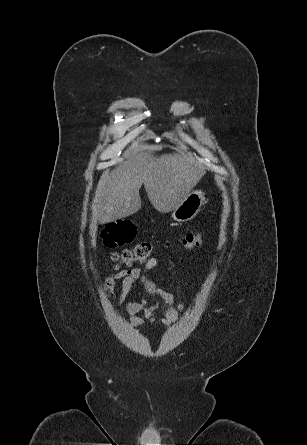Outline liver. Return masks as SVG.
<instances>
[{"instance_id":"liver-1","label":"liver","mask_w":307,"mask_h":445,"mask_svg":"<svg viewBox=\"0 0 307 445\" xmlns=\"http://www.w3.org/2000/svg\"><path fill=\"white\" fill-rule=\"evenodd\" d=\"M143 146L142 152H124L126 160L99 180L92 210L99 223L125 218L141 208L139 190L144 184L148 198L158 212L174 210L199 182L203 168L180 154L155 156Z\"/></svg>"}]
</instances>
